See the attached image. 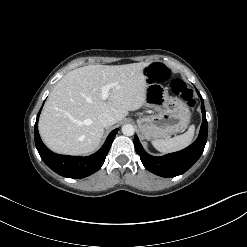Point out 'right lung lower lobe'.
Masks as SVG:
<instances>
[{
    "label": "right lung lower lobe",
    "instance_id": "1",
    "mask_svg": "<svg viewBox=\"0 0 247 247\" xmlns=\"http://www.w3.org/2000/svg\"><path fill=\"white\" fill-rule=\"evenodd\" d=\"M40 112L41 109L35 123L34 138L36 148L42 160L49 168L61 176L75 179L87 177L101 168L118 129L113 130L107 137L101 149L91 156L80 157L59 155L50 151L43 144L39 136L38 119Z\"/></svg>",
    "mask_w": 247,
    "mask_h": 247
}]
</instances>
